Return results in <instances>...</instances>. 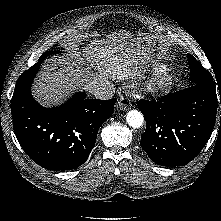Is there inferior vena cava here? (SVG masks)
<instances>
[{"label":"inferior vena cava","instance_id":"602c4592","mask_svg":"<svg viewBox=\"0 0 221 221\" xmlns=\"http://www.w3.org/2000/svg\"><path fill=\"white\" fill-rule=\"evenodd\" d=\"M90 92L97 99L107 100V99H111L113 97L114 92H115V88L112 84H108V85L96 87V88L92 89Z\"/></svg>","mask_w":221,"mask_h":221}]
</instances>
